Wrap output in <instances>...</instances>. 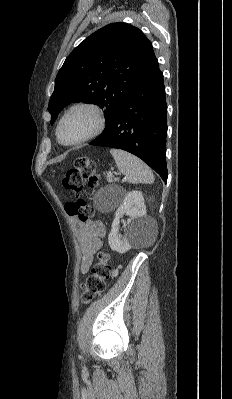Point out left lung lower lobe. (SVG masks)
Segmentation results:
<instances>
[{"label":"left lung lower lobe","mask_w":232,"mask_h":399,"mask_svg":"<svg viewBox=\"0 0 232 399\" xmlns=\"http://www.w3.org/2000/svg\"><path fill=\"white\" fill-rule=\"evenodd\" d=\"M167 104L163 73L151 45L110 129L90 142L130 152L167 181Z\"/></svg>","instance_id":"obj_1"}]
</instances>
